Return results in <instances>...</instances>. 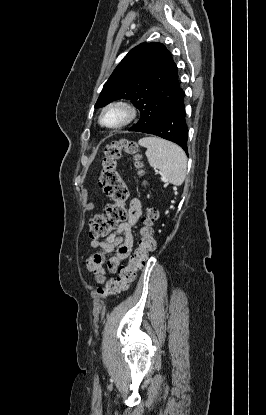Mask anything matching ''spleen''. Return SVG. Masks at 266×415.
Returning <instances> with one entry per match:
<instances>
[{
  "mask_svg": "<svg viewBox=\"0 0 266 415\" xmlns=\"http://www.w3.org/2000/svg\"><path fill=\"white\" fill-rule=\"evenodd\" d=\"M139 145L145 147L150 166L158 168L161 180L180 186L186 177L187 157L184 151L176 144L158 137H144Z\"/></svg>",
  "mask_w": 266,
  "mask_h": 415,
  "instance_id": "3e777b00",
  "label": "spleen"
}]
</instances>
